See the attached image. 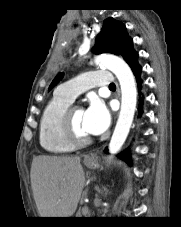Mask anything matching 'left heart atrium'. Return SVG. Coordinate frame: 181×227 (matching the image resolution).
Listing matches in <instances>:
<instances>
[{"label": "left heart atrium", "mask_w": 181, "mask_h": 227, "mask_svg": "<svg viewBox=\"0 0 181 227\" xmlns=\"http://www.w3.org/2000/svg\"><path fill=\"white\" fill-rule=\"evenodd\" d=\"M110 123V113L103 102L94 100L84 111V127L91 135L104 132Z\"/></svg>", "instance_id": "39dd6f15"}]
</instances>
